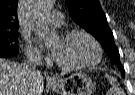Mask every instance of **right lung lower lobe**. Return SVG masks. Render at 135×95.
<instances>
[{"instance_id":"1","label":"right lung lower lobe","mask_w":135,"mask_h":95,"mask_svg":"<svg viewBox=\"0 0 135 95\" xmlns=\"http://www.w3.org/2000/svg\"><path fill=\"white\" fill-rule=\"evenodd\" d=\"M19 53V50H16V51H3V52H0V57L1 58H8V57H14V56H17Z\"/></svg>"}]
</instances>
